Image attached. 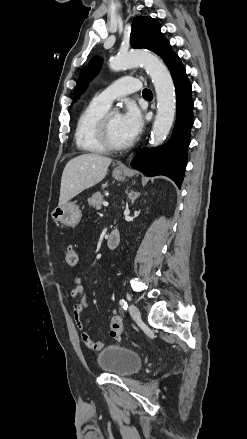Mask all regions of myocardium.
Masks as SVG:
<instances>
[{"label": "myocardium", "instance_id": "myocardium-1", "mask_svg": "<svg viewBox=\"0 0 247 439\" xmlns=\"http://www.w3.org/2000/svg\"><path fill=\"white\" fill-rule=\"evenodd\" d=\"M112 113L113 112H107L100 119L97 129L98 140L107 151H122L129 148L132 145V142L128 141L124 144L113 143L109 127V119Z\"/></svg>", "mask_w": 247, "mask_h": 439}]
</instances>
